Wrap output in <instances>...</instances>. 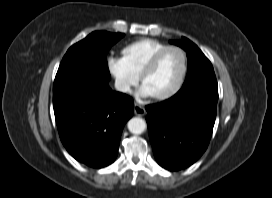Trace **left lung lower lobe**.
<instances>
[{
	"mask_svg": "<svg viewBox=\"0 0 272 198\" xmlns=\"http://www.w3.org/2000/svg\"><path fill=\"white\" fill-rule=\"evenodd\" d=\"M218 101L216 78L184 85L168 100L146 106L154 156L163 168L189 167L205 152L213 131Z\"/></svg>",
	"mask_w": 272,
	"mask_h": 198,
	"instance_id": "0a47b994",
	"label": "left lung lower lobe"
}]
</instances>
